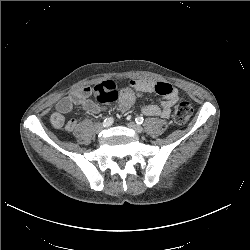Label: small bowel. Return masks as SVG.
I'll list each match as a JSON object with an SVG mask.
<instances>
[{
	"label": "small bowel",
	"instance_id": "obj_1",
	"mask_svg": "<svg viewBox=\"0 0 250 250\" xmlns=\"http://www.w3.org/2000/svg\"><path fill=\"white\" fill-rule=\"evenodd\" d=\"M130 88L139 94L155 92L162 96L161 106L147 105L143 107L142 111L147 116L169 118L172 107L179 99L177 88L166 82H154L145 79L132 80L130 81ZM91 92L92 89L90 87H85L62 98L57 103L56 110L50 117L52 125L66 132L73 131L77 121L75 119L66 120L65 115L72 110L74 105L80 106L89 113L95 114L100 112L101 108L89 98Z\"/></svg>",
	"mask_w": 250,
	"mask_h": 250
}]
</instances>
